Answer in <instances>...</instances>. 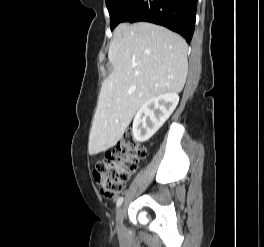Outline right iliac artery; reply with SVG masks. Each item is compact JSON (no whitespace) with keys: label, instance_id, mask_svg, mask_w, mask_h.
<instances>
[{"label":"right iliac artery","instance_id":"1","mask_svg":"<svg viewBox=\"0 0 264 247\" xmlns=\"http://www.w3.org/2000/svg\"><path fill=\"white\" fill-rule=\"evenodd\" d=\"M123 203V197H119L116 203V207L118 208Z\"/></svg>","mask_w":264,"mask_h":247}]
</instances>
